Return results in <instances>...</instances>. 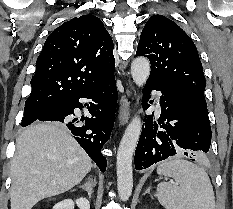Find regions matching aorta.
<instances>
[{
  "label": "aorta",
  "mask_w": 233,
  "mask_h": 209,
  "mask_svg": "<svg viewBox=\"0 0 233 209\" xmlns=\"http://www.w3.org/2000/svg\"><path fill=\"white\" fill-rule=\"evenodd\" d=\"M150 74V62L137 57L131 64V75L138 86H143ZM142 130V122L135 116L127 126L117 152V188L121 200L126 201L132 194V158Z\"/></svg>",
  "instance_id": "1"
}]
</instances>
